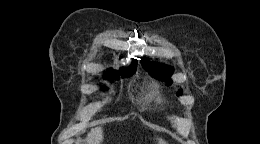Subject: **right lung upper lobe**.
<instances>
[{
    "instance_id": "cb5924a9",
    "label": "right lung upper lobe",
    "mask_w": 260,
    "mask_h": 144,
    "mask_svg": "<svg viewBox=\"0 0 260 144\" xmlns=\"http://www.w3.org/2000/svg\"><path fill=\"white\" fill-rule=\"evenodd\" d=\"M137 67V60L133 59L131 67H129L128 69H120L121 74H125L131 71H135ZM106 76H113V75H117L116 72H114L112 69H109L107 72H105Z\"/></svg>"
}]
</instances>
